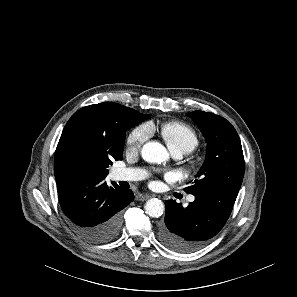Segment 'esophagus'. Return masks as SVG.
I'll return each mask as SVG.
<instances>
[{"label": "esophagus", "instance_id": "esophagus-1", "mask_svg": "<svg viewBox=\"0 0 297 297\" xmlns=\"http://www.w3.org/2000/svg\"><path fill=\"white\" fill-rule=\"evenodd\" d=\"M151 197V195L146 194V193H138L136 195V200L138 201H145L148 200Z\"/></svg>", "mask_w": 297, "mask_h": 297}]
</instances>
